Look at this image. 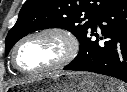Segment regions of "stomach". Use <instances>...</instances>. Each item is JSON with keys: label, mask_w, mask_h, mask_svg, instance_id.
<instances>
[{"label": "stomach", "mask_w": 127, "mask_h": 92, "mask_svg": "<svg viewBox=\"0 0 127 92\" xmlns=\"http://www.w3.org/2000/svg\"><path fill=\"white\" fill-rule=\"evenodd\" d=\"M26 85L31 92H115L112 80L85 72L49 73L30 79Z\"/></svg>", "instance_id": "1"}]
</instances>
